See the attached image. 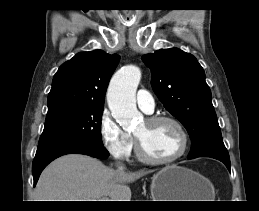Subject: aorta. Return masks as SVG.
Wrapping results in <instances>:
<instances>
[{
    "label": "aorta",
    "instance_id": "obj_1",
    "mask_svg": "<svg viewBox=\"0 0 259 211\" xmlns=\"http://www.w3.org/2000/svg\"><path fill=\"white\" fill-rule=\"evenodd\" d=\"M141 79V70L134 65L124 67L112 77L107 102L112 116L124 130L133 129L141 118L136 107L135 93Z\"/></svg>",
    "mask_w": 259,
    "mask_h": 211
}]
</instances>
